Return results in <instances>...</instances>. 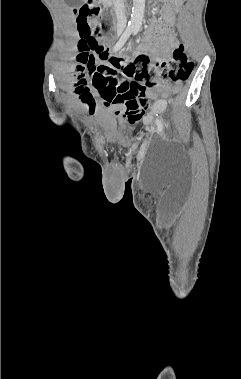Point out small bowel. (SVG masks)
Segmentation results:
<instances>
[{
    "label": "small bowel",
    "mask_w": 241,
    "mask_h": 379,
    "mask_svg": "<svg viewBox=\"0 0 241 379\" xmlns=\"http://www.w3.org/2000/svg\"><path fill=\"white\" fill-rule=\"evenodd\" d=\"M170 2L171 4L165 9V15L168 21L172 22L181 0H170ZM177 44L176 35L170 28L160 26L146 36L144 48L150 49L155 59L168 60ZM175 92V89L168 90L167 93H163L162 90L155 91V87L150 86L149 83H140L135 89L116 93L109 102L112 104L115 115L120 117L123 123L133 126L144 118H151V115H146L147 110H150L151 97L157 99L156 105H159Z\"/></svg>",
    "instance_id": "c3829d8e"
}]
</instances>
